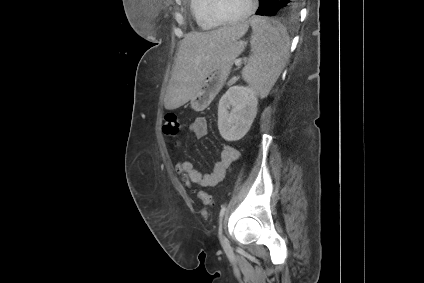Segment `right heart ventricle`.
<instances>
[{
	"mask_svg": "<svg viewBox=\"0 0 424 283\" xmlns=\"http://www.w3.org/2000/svg\"><path fill=\"white\" fill-rule=\"evenodd\" d=\"M190 11L196 25L202 30H212L219 26L207 13V0H190Z\"/></svg>",
	"mask_w": 424,
	"mask_h": 283,
	"instance_id": "right-heart-ventricle-1",
	"label": "right heart ventricle"
}]
</instances>
